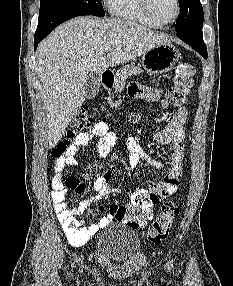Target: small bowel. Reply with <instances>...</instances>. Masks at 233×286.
Wrapping results in <instances>:
<instances>
[{"label": "small bowel", "instance_id": "obj_1", "mask_svg": "<svg viewBox=\"0 0 233 286\" xmlns=\"http://www.w3.org/2000/svg\"><path fill=\"white\" fill-rule=\"evenodd\" d=\"M132 97L143 99L145 101H155L161 96L160 89L143 87L138 84H132L130 87ZM188 117V110L185 106L180 107L176 113L168 120L166 126L155 133V139L162 145H171V155L169 170L160 182L148 181L147 188L138 189L130 194V202L126 205L112 204L108 213L94 219L89 225L85 226V222L80 220L78 216L93 208L94 203L91 201H81L77 206L70 208L66 202L67 189L64 186L61 173L66 166H76L78 161L76 154L81 147L87 145L94 138L98 137L97 151L99 156L107 157L112 150L118 146L119 142L114 133L109 131L106 123L98 122L92 125L87 131L79 134L67 152L59 158L55 165V175L52 179L51 200L58 220L62 224L64 233L68 241L74 246H81L87 243L90 238L101 228L108 226L113 220H118L125 224L134 226L128 219V211L138 205L143 212V220L141 225L145 224L154 216V206L160 200L174 194L178 188L182 175V162L184 158V140L185 128L184 124ZM126 146L129 149L128 162L132 169H135L141 161H145L153 167L162 169L165 166L159 160L151 158L139 145L134 138L126 140ZM110 174L94 178V188L102 196L112 193H120L119 188L110 189ZM84 191L77 192L78 194ZM95 212H102L100 206L94 207ZM140 225V226H141Z\"/></svg>", "mask_w": 233, "mask_h": 286}]
</instances>
